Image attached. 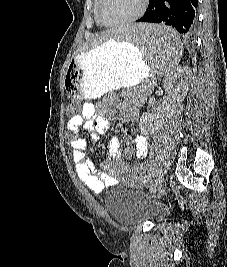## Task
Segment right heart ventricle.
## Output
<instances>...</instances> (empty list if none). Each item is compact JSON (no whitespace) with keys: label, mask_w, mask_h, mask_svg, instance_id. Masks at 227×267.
<instances>
[{"label":"right heart ventricle","mask_w":227,"mask_h":267,"mask_svg":"<svg viewBox=\"0 0 227 267\" xmlns=\"http://www.w3.org/2000/svg\"><path fill=\"white\" fill-rule=\"evenodd\" d=\"M98 3H99V0H95V3H94V16H95V19H96V21H97L98 24H100V25H106L99 18V15H98Z\"/></svg>","instance_id":"obj_1"}]
</instances>
